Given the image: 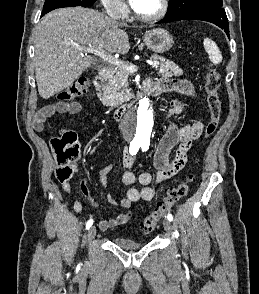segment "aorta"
<instances>
[{
    "mask_svg": "<svg viewBox=\"0 0 259 294\" xmlns=\"http://www.w3.org/2000/svg\"><path fill=\"white\" fill-rule=\"evenodd\" d=\"M123 129L131 139L151 140L154 130V111L148 97L143 98L140 104L127 114Z\"/></svg>",
    "mask_w": 259,
    "mask_h": 294,
    "instance_id": "1",
    "label": "aorta"
}]
</instances>
